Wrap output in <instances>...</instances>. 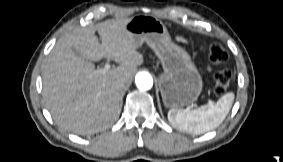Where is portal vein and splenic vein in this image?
<instances>
[{
    "mask_svg": "<svg viewBox=\"0 0 283 162\" xmlns=\"http://www.w3.org/2000/svg\"><path fill=\"white\" fill-rule=\"evenodd\" d=\"M110 68H111V65L109 63H106L103 68L97 69L96 73L104 75L107 71H109Z\"/></svg>",
    "mask_w": 283,
    "mask_h": 162,
    "instance_id": "1",
    "label": "portal vein and splenic vein"
}]
</instances>
